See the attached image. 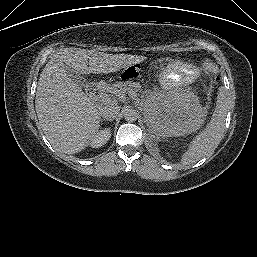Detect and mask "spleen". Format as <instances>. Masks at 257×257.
<instances>
[{"label":"spleen","mask_w":257,"mask_h":257,"mask_svg":"<svg viewBox=\"0 0 257 257\" xmlns=\"http://www.w3.org/2000/svg\"><path fill=\"white\" fill-rule=\"evenodd\" d=\"M228 111V103L223 89L219 90L216 106L206 127L190 142L187 151L181 157L183 165H192L211 154L220 143Z\"/></svg>","instance_id":"spleen-1"}]
</instances>
